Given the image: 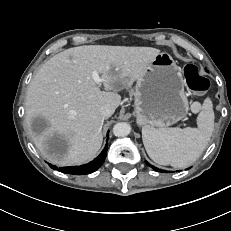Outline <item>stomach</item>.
Returning <instances> with one entry per match:
<instances>
[{"label":"stomach","mask_w":231,"mask_h":231,"mask_svg":"<svg viewBox=\"0 0 231 231\" xmlns=\"http://www.w3.org/2000/svg\"><path fill=\"white\" fill-rule=\"evenodd\" d=\"M137 123L166 128L183 119L189 110L180 67L168 53H160L133 89Z\"/></svg>","instance_id":"1"}]
</instances>
